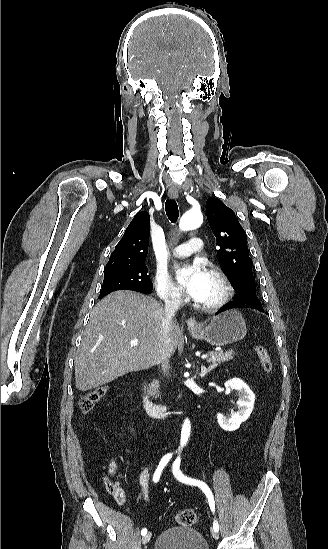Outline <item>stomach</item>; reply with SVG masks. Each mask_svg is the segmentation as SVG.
<instances>
[{
  "mask_svg": "<svg viewBox=\"0 0 328 549\" xmlns=\"http://www.w3.org/2000/svg\"><path fill=\"white\" fill-rule=\"evenodd\" d=\"M189 327L197 339H203L214 347H223V345L241 341L247 333L245 319L237 309H229L221 315H216L211 319L209 325L200 331H195L192 325Z\"/></svg>",
  "mask_w": 328,
  "mask_h": 549,
  "instance_id": "0dacf381",
  "label": "stomach"
}]
</instances>
